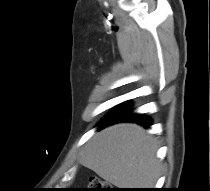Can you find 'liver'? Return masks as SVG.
<instances>
[{
	"label": "liver",
	"mask_w": 210,
	"mask_h": 191,
	"mask_svg": "<svg viewBox=\"0 0 210 191\" xmlns=\"http://www.w3.org/2000/svg\"><path fill=\"white\" fill-rule=\"evenodd\" d=\"M156 140L136 124L105 128L87 144L80 163L118 188H151L159 176Z\"/></svg>",
	"instance_id": "liver-1"
}]
</instances>
